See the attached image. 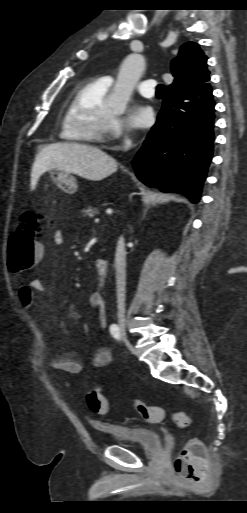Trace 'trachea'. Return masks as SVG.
I'll return each mask as SVG.
<instances>
[{
  "label": "trachea",
  "mask_w": 247,
  "mask_h": 513,
  "mask_svg": "<svg viewBox=\"0 0 247 513\" xmlns=\"http://www.w3.org/2000/svg\"><path fill=\"white\" fill-rule=\"evenodd\" d=\"M164 90H165V85H163V84H159V85L157 86V91H156V93H157L158 95H163Z\"/></svg>",
  "instance_id": "1"
}]
</instances>
